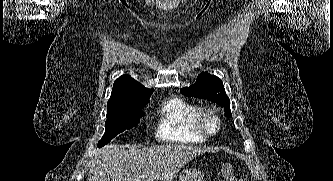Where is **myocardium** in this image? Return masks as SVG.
Wrapping results in <instances>:
<instances>
[{
	"label": "myocardium",
	"mask_w": 333,
	"mask_h": 181,
	"mask_svg": "<svg viewBox=\"0 0 333 181\" xmlns=\"http://www.w3.org/2000/svg\"><path fill=\"white\" fill-rule=\"evenodd\" d=\"M210 118L215 123L214 130H208L205 126V121ZM220 118L216 111L210 108H205L199 111L195 119V127L197 131L204 137L215 136L220 130Z\"/></svg>",
	"instance_id": "f54148a6"
}]
</instances>
